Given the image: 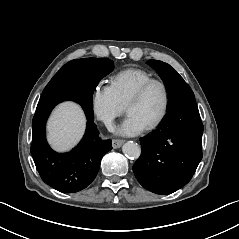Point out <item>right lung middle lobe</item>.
<instances>
[{
    "mask_svg": "<svg viewBox=\"0 0 239 239\" xmlns=\"http://www.w3.org/2000/svg\"><path fill=\"white\" fill-rule=\"evenodd\" d=\"M114 64L107 58L76 59L65 64L45 87L40 100L65 93L73 89H84L93 93L95 87L88 85L86 80L96 82L109 74Z\"/></svg>",
    "mask_w": 239,
    "mask_h": 239,
    "instance_id": "1",
    "label": "right lung middle lobe"
}]
</instances>
